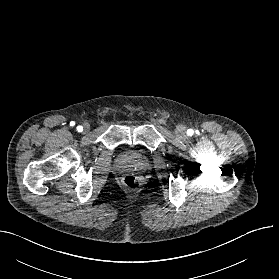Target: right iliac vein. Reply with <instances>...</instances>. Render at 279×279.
I'll list each match as a JSON object with an SVG mask.
<instances>
[{
	"label": "right iliac vein",
	"instance_id": "1",
	"mask_svg": "<svg viewBox=\"0 0 279 279\" xmlns=\"http://www.w3.org/2000/svg\"><path fill=\"white\" fill-rule=\"evenodd\" d=\"M90 129V125L88 123L84 124V132H88Z\"/></svg>",
	"mask_w": 279,
	"mask_h": 279
}]
</instances>
